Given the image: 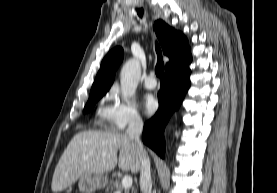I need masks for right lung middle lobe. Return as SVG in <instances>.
Returning <instances> with one entry per match:
<instances>
[{"mask_svg": "<svg viewBox=\"0 0 277 193\" xmlns=\"http://www.w3.org/2000/svg\"><path fill=\"white\" fill-rule=\"evenodd\" d=\"M106 93V91L104 92H96V93H92L89 96L88 102L84 108V113L88 112L90 109H92L94 107V105L96 104V102Z\"/></svg>", "mask_w": 277, "mask_h": 193, "instance_id": "obj_1", "label": "right lung middle lobe"}]
</instances>
